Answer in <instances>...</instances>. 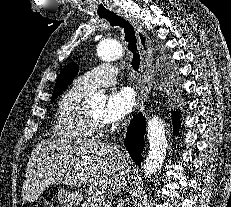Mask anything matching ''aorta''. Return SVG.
I'll list each match as a JSON object with an SVG mask.
<instances>
[{
	"label": "aorta",
	"instance_id": "1",
	"mask_svg": "<svg viewBox=\"0 0 231 207\" xmlns=\"http://www.w3.org/2000/svg\"><path fill=\"white\" fill-rule=\"evenodd\" d=\"M123 53L122 44L114 39H104L97 47V55L103 61L118 60L123 56ZM105 99L103 94L97 93L88 100V104L103 103ZM147 137L150 151L143 166L145 178H149L162 167L166 156L167 140L163 123L159 117L153 116L148 120Z\"/></svg>",
	"mask_w": 231,
	"mask_h": 207
}]
</instances>
